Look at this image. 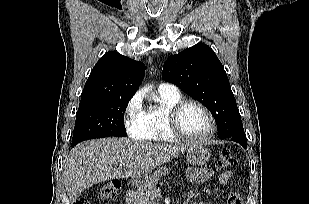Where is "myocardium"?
<instances>
[{
    "label": "myocardium",
    "instance_id": "myocardium-1",
    "mask_svg": "<svg viewBox=\"0 0 309 204\" xmlns=\"http://www.w3.org/2000/svg\"><path fill=\"white\" fill-rule=\"evenodd\" d=\"M188 105H196L198 106L208 117V120L210 122V130L207 135L204 137H192L188 135L186 132L183 131L180 125V115L183 109ZM167 125L168 129L171 132V134L176 139H181L189 143H205L208 142L215 134L216 131V121L212 114V112L209 110V108L204 105L202 102L195 100V99H181L177 103H175L167 113Z\"/></svg>",
    "mask_w": 309,
    "mask_h": 204
}]
</instances>
